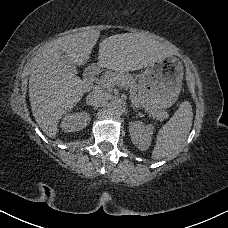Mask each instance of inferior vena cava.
I'll return each instance as SVG.
<instances>
[{"label":"inferior vena cava","mask_w":228,"mask_h":228,"mask_svg":"<svg viewBox=\"0 0 228 228\" xmlns=\"http://www.w3.org/2000/svg\"><path fill=\"white\" fill-rule=\"evenodd\" d=\"M109 98L110 95L108 92L104 90H94L87 95L86 103L90 106L98 107L107 102Z\"/></svg>","instance_id":"inferior-vena-cava-1"}]
</instances>
